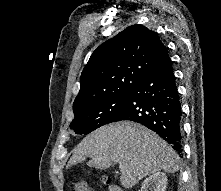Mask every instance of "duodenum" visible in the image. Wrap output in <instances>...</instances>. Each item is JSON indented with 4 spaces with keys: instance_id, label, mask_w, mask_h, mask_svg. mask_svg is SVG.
Here are the masks:
<instances>
[{
    "instance_id": "410a0bca",
    "label": "duodenum",
    "mask_w": 221,
    "mask_h": 191,
    "mask_svg": "<svg viewBox=\"0 0 221 191\" xmlns=\"http://www.w3.org/2000/svg\"><path fill=\"white\" fill-rule=\"evenodd\" d=\"M109 191H123V190L117 185H111L109 187Z\"/></svg>"
}]
</instances>
